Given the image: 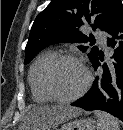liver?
Masks as SVG:
<instances>
[{
  "label": "liver",
  "mask_w": 123,
  "mask_h": 130,
  "mask_svg": "<svg viewBox=\"0 0 123 130\" xmlns=\"http://www.w3.org/2000/svg\"><path fill=\"white\" fill-rule=\"evenodd\" d=\"M79 114L78 109L69 106H35L27 114L22 128L26 130H52Z\"/></svg>",
  "instance_id": "1"
}]
</instances>
